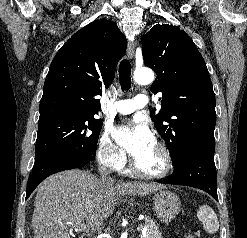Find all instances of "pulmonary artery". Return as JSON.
<instances>
[{"label":"pulmonary artery","instance_id":"pulmonary-artery-1","mask_svg":"<svg viewBox=\"0 0 247 238\" xmlns=\"http://www.w3.org/2000/svg\"><path fill=\"white\" fill-rule=\"evenodd\" d=\"M147 104L148 97L144 94H139L132 99L117 101L113 106V110L120 114H130L145 107Z\"/></svg>","mask_w":247,"mask_h":238}]
</instances>
